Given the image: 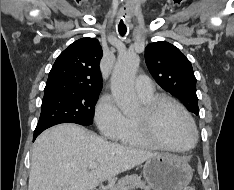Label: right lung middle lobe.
Returning <instances> with one entry per match:
<instances>
[{
    "label": "right lung middle lobe",
    "instance_id": "obj_1",
    "mask_svg": "<svg viewBox=\"0 0 234 190\" xmlns=\"http://www.w3.org/2000/svg\"><path fill=\"white\" fill-rule=\"evenodd\" d=\"M98 95L99 92L45 88L35 132L60 123L91 125Z\"/></svg>",
    "mask_w": 234,
    "mask_h": 190
}]
</instances>
